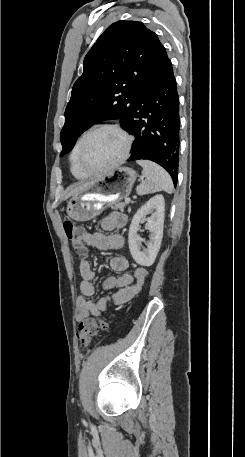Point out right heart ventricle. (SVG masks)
<instances>
[{
	"mask_svg": "<svg viewBox=\"0 0 245 457\" xmlns=\"http://www.w3.org/2000/svg\"><path fill=\"white\" fill-rule=\"evenodd\" d=\"M87 132H84L77 140L75 147L72 151L71 157H70V162H71V172L73 176L79 180H84L87 178V175H85L82 170L79 168L77 164V151L78 148Z\"/></svg>",
	"mask_w": 245,
	"mask_h": 457,
	"instance_id": "1",
	"label": "right heart ventricle"
}]
</instances>
